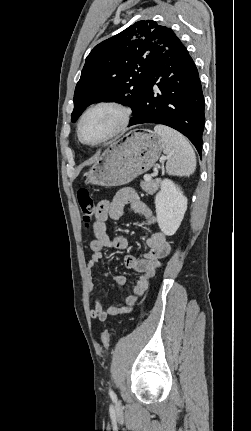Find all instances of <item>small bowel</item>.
<instances>
[{"instance_id": "small-bowel-1", "label": "small bowel", "mask_w": 251, "mask_h": 431, "mask_svg": "<svg viewBox=\"0 0 251 431\" xmlns=\"http://www.w3.org/2000/svg\"><path fill=\"white\" fill-rule=\"evenodd\" d=\"M126 209L145 217L149 224L156 223V218L152 211L131 188H123L116 193L112 200H102L98 203L96 219L93 224L94 239L90 242L92 255L87 263L89 292H92L94 288L92 271L98 264L103 262V250L105 248L125 250L128 247V240L124 236H110L106 227V222L109 219L119 220L122 218ZM146 244L149 251L141 258H136L132 255L125 257L126 266L139 272V276L132 287V294L125 297L122 303L111 305L106 309L102 307L99 301H95L90 311L92 318L103 322L111 317L127 313L136 304L139 297L144 294L156 270L162 266L163 260L171 252V243L167 235L160 230L148 236ZM107 275L105 273V276ZM112 279L117 285L122 286L126 283V278L121 274H113Z\"/></svg>"}]
</instances>
